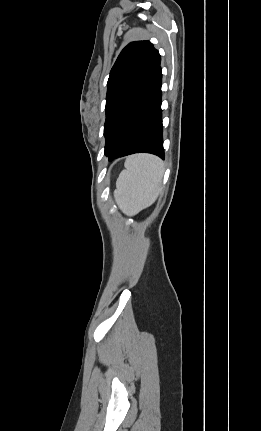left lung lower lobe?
<instances>
[{
    "label": "left lung lower lobe",
    "mask_w": 261,
    "mask_h": 431,
    "mask_svg": "<svg viewBox=\"0 0 261 431\" xmlns=\"http://www.w3.org/2000/svg\"><path fill=\"white\" fill-rule=\"evenodd\" d=\"M161 83L162 72L159 65L129 104L108 155L110 161L140 152L151 153L164 159Z\"/></svg>",
    "instance_id": "0a47b994"
}]
</instances>
